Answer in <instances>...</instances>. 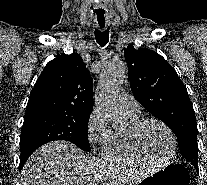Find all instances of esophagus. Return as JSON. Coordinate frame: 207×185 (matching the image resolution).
I'll list each match as a JSON object with an SVG mask.
<instances>
[{
  "label": "esophagus",
  "mask_w": 207,
  "mask_h": 185,
  "mask_svg": "<svg viewBox=\"0 0 207 185\" xmlns=\"http://www.w3.org/2000/svg\"><path fill=\"white\" fill-rule=\"evenodd\" d=\"M95 14H106V9H95ZM95 20H98V22H96V25L101 28L104 29L107 26V21L106 20V15H95Z\"/></svg>",
  "instance_id": "obj_1"
}]
</instances>
